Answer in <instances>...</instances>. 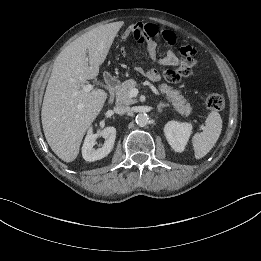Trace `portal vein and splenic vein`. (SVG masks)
Masks as SVG:
<instances>
[{"label":"portal vein and splenic vein","mask_w":261,"mask_h":261,"mask_svg":"<svg viewBox=\"0 0 261 261\" xmlns=\"http://www.w3.org/2000/svg\"><path fill=\"white\" fill-rule=\"evenodd\" d=\"M83 90H84L85 92L93 91V85H91V84H86V85L83 86ZM138 93H139L138 89L133 88V89H131V90L129 91V96H130L131 98H133V97H136V96L138 95ZM200 128H201V129H204L203 126H201Z\"/></svg>","instance_id":"portal-vein-and-splenic-vein-1"}]
</instances>
